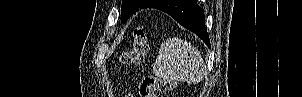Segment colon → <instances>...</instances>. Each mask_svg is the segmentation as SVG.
Instances as JSON below:
<instances>
[{
    "instance_id": "5ec220e1",
    "label": "colon",
    "mask_w": 302,
    "mask_h": 97,
    "mask_svg": "<svg viewBox=\"0 0 302 97\" xmlns=\"http://www.w3.org/2000/svg\"><path fill=\"white\" fill-rule=\"evenodd\" d=\"M149 45L146 34L141 27H137L133 32L132 47L129 50L122 52L120 61L124 65H135L143 62ZM173 82L162 80L158 77H144L140 83L141 97H157L156 93L166 92L172 89Z\"/></svg>"
}]
</instances>
